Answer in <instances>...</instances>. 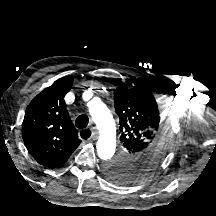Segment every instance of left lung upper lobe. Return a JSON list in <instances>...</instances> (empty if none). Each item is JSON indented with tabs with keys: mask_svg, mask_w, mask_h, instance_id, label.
I'll return each instance as SVG.
<instances>
[{
	"mask_svg": "<svg viewBox=\"0 0 216 216\" xmlns=\"http://www.w3.org/2000/svg\"><path fill=\"white\" fill-rule=\"evenodd\" d=\"M114 108L119 119L121 151L104 172L116 183L139 181L151 173L170 149L167 125L160 119L157 102L146 84L114 90Z\"/></svg>",
	"mask_w": 216,
	"mask_h": 216,
	"instance_id": "left-lung-upper-lobe-1",
	"label": "left lung upper lobe"
}]
</instances>
